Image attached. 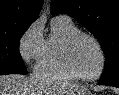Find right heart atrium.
<instances>
[{
    "label": "right heart atrium",
    "mask_w": 119,
    "mask_h": 95,
    "mask_svg": "<svg viewBox=\"0 0 119 95\" xmlns=\"http://www.w3.org/2000/svg\"><path fill=\"white\" fill-rule=\"evenodd\" d=\"M44 44L42 25L33 22L19 40V52L23 61L29 65L37 63Z\"/></svg>",
    "instance_id": "1"
}]
</instances>
